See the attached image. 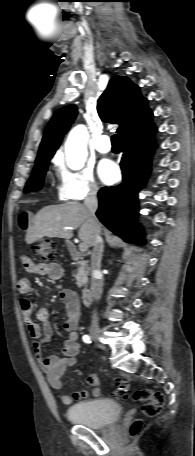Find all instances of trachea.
I'll list each match as a JSON object with an SVG mask.
<instances>
[{
    "mask_svg": "<svg viewBox=\"0 0 195 456\" xmlns=\"http://www.w3.org/2000/svg\"><path fill=\"white\" fill-rule=\"evenodd\" d=\"M113 147H120V135L115 134L111 138Z\"/></svg>",
    "mask_w": 195,
    "mask_h": 456,
    "instance_id": "trachea-1",
    "label": "trachea"
}]
</instances>
